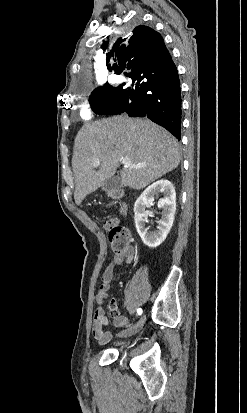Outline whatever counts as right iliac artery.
I'll use <instances>...</instances> for the list:
<instances>
[{"mask_svg":"<svg viewBox=\"0 0 247 413\" xmlns=\"http://www.w3.org/2000/svg\"><path fill=\"white\" fill-rule=\"evenodd\" d=\"M137 313H138V315H141V314H142V309H141V308H138V309H137Z\"/></svg>","mask_w":247,"mask_h":413,"instance_id":"1","label":"right iliac artery"}]
</instances>
